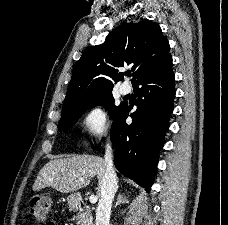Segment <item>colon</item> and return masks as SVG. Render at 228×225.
<instances>
[{"label":"colon","mask_w":228,"mask_h":225,"mask_svg":"<svg viewBox=\"0 0 228 225\" xmlns=\"http://www.w3.org/2000/svg\"><path fill=\"white\" fill-rule=\"evenodd\" d=\"M28 204L31 215L40 223L45 225H55L54 222L48 219L52 204L47 197L34 196L29 199Z\"/></svg>","instance_id":"colon-1"}]
</instances>
